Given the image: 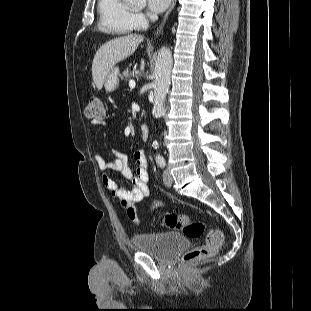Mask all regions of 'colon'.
<instances>
[{"label": "colon", "mask_w": 311, "mask_h": 311, "mask_svg": "<svg viewBox=\"0 0 311 311\" xmlns=\"http://www.w3.org/2000/svg\"><path fill=\"white\" fill-rule=\"evenodd\" d=\"M86 117L100 121L104 118V102L100 96L90 97L85 109ZM163 224L170 229L182 231L188 238L196 239L206 232L205 243L187 251L182 261L185 264L203 260L214 255L222 246L224 238L221 231L217 229H207L204 222L193 220L187 215H177L168 213L163 218Z\"/></svg>", "instance_id": "1"}]
</instances>
